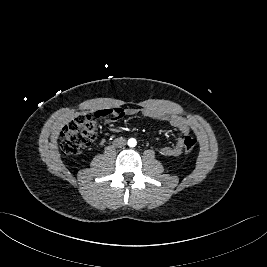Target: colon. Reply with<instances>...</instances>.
I'll return each instance as SVG.
<instances>
[{
  "label": "colon",
  "instance_id": "colon-1",
  "mask_svg": "<svg viewBox=\"0 0 267 267\" xmlns=\"http://www.w3.org/2000/svg\"><path fill=\"white\" fill-rule=\"evenodd\" d=\"M100 117L102 116L98 113L85 114L64 126L60 134L61 152L65 156H74L89 145L96 136ZM183 144L186 152H192L197 141L194 137L187 135L183 138Z\"/></svg>",
  "mask_w": 267,
  "mask_h": 267
}]
</instances>
